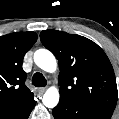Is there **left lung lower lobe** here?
Returning a JSON list of instances; mask_svg holds the SVG:
<instances>
[{"label":"left lung lower lobe","instance_id":"0a47b994","mask_svg":"<svg viewBox=\"0 0 119 119\" xmlns=\"http://www.w3.org/2000/svg\"><path fill=\"white\" fill-rule=\"evenodd\" d=\"M52 113L55 119H110L113 114L111 111L81 108L72 102L62 100Z\"/></svg>","mask_w":119,"mask_h":119}]
</instances>
